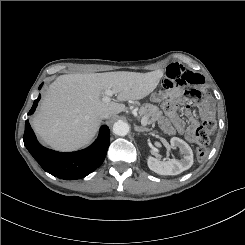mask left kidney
<instances>
[{
	"instance_id": "left-kidney-1",
	"label": "left kidney",
	"mask_w": 245,
	"mask_h": 245,
	"mask_svg": "<svg viewBox=\"0 0 245 245\" xmlns=\"http://www.w3.org/2000/svg\"><path fill=\"white\" fill-rule=\"evenodd\" d=\"M172 147H178L183 154V159H169L161 161L149 156L147 164L150 170L160 175H178L188 170L193 165V151L191 147L182 139L173 137L170 140Z\"/></svg>"
}]
</instances>
